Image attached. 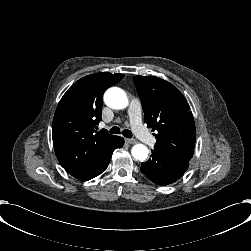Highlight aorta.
<instances>
[{
  "label": "aorta",
  "mask_w": 251,
  "mask_h": 251,
  "mask_svg": "<svg viewBox=\"0 0 251 251\" xmlns=\"http://www.w3.org/2000/svg\"><path fill=\"white\" fill-rule=\"evenodd\" d=\"M104 101L107 106L113 109H124L128 106V98L124 90L118 87H111L104 94ZM149 150L143 144H135L131 149V154L138 161H145Z\"/></svg>",
  "instance_id": "obj_1"
}]
</instances>
